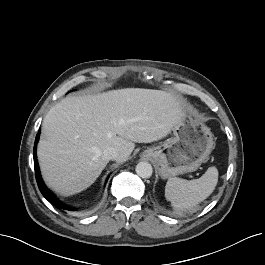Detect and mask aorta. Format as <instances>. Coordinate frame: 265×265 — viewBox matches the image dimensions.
Wrapping results in <instances>:
<instances>
[{"label":"aorta","mask_w":265,"mask_h":265,"mask_svg":"<svg viewBox=\"0 0 265 265\" xmlns=\"http://www.w3.org/2000/svg\"><path fill=\"white\" fill-rule=\"evenodd\" d=\"M137 175L141 178H150L153 173V168L148 162H139L135 169Z\"/></svg>","instance_id":"1"}]
</instances>
